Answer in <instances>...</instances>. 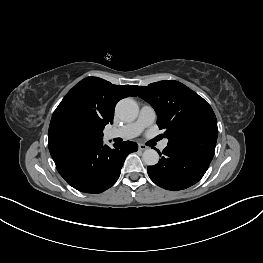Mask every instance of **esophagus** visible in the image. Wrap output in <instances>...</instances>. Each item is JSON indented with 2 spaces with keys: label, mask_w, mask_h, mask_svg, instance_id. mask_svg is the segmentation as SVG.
Masks as SVG:
<instances>
[{
  "label": "esophagus",
  "mask_w": 263,
  "mask_h": 263,
  "mask_svg": "<svg viewBox=\"0 0 263 263\" xmlns=\"http://www.w3.org/2000/svg\"><path fill=\"white\" fill-rule=\"evenodd\" d=\"M138 148H139L140 151H145V150L148 149V147L146 145H144V144H139Z\"/></svg>",
  "instance_id": "obj_1"
}]
</instances>
